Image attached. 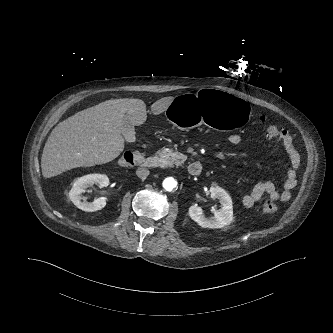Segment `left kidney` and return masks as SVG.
<instances>
[{
    "label": "left kidney",
    "instance_id": "left-kidney-1",
    "mask_svg": "<svg viewBox=\"0 0 333 333\" xmlns=\"http://www.w3.org/2000/svg\"><path fill=\"white\" fill-rule=\"evenodd\" d=\"M210 193L211 198L219 199L221 204V208L215 210L214 217L211 219L205 218L202 215V209L196 205L189 208V216L203 228H222L230 224L233 220L232 199L229 194L219 186H211Z\"/></svg>",
    "mask_w": 333,
    "mask_h": 333
}]
</instances>
